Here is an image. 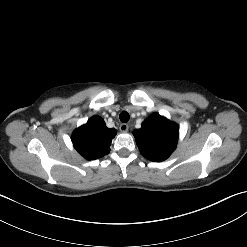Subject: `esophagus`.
I'll return each mask as SVG.
<instances>
[{
	"mask_svg": "<svg viewBox=\"0 0 247 247\" xmlns=\"http://www.w3.org/2000/svg\"><path fill=\"white\" fill-rule=\"evenodd\" d=\"M119 129H120L121 132H127L128 129H129V126L127 124H125V123H122L120 125Z\"/></svg>",
	"mask_w": 247,
	"mask_h": 247,
	"instance_id": "obj_1",
	"label": "esophagus"
}]
</instances>
